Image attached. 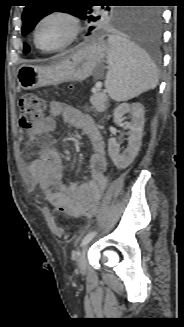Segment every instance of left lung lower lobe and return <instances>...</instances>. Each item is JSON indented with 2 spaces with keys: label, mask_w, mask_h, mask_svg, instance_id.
<instances>
[{
  "label": "left lung lower lobe",
  "mask_w": 184,
  "mask_h": 327,
  "mask_svg": "<svg viewBox=\"0 0 184 327\" xmlns=\"http://www.w3.org/2000/svg\"><path fill=\"white\" fill-rule=\"evenodd\" d=\"M161 14L155 8L142 9L139 21L133 25L134 41L144 52L158 55L161 41Z\"/></svg>",
  "instance_id": "left-lung-lower-lobe-1"
}]
</instances>
